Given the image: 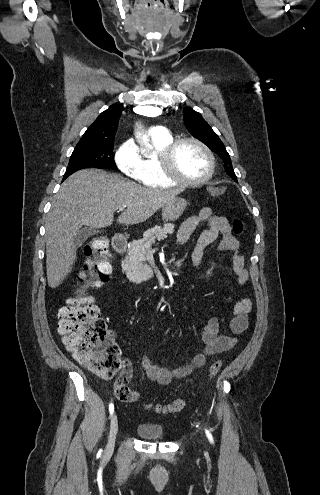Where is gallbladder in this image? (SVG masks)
Returning <instances> with one entry per match:
<instances>
[{
  "label": "gallbladder",
  "mask_w": 320,
  "mask_h": 495,
  "mask_svg": "<svg viewBox=\"0 0 320 495\" xmlns=\"http://www.w3.org/2000/svg\"><path fill=\"white\" fill-rule=\"evenodd\" d=\"M96 233H97V230L93 227H82L76 231V234L74 236V244L76 245V247H79L90 236H93Z\"/></svg>",
  "instance_id": "bac80fb5"
}]
</instances>
